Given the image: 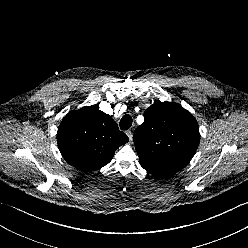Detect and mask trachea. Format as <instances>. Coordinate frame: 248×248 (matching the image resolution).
<instances>
[{
  "label": "trachea",
  "mask_w": 248,
  "mask_h": 248,
  "mask_svg": "<svg viewBox=\"0 0 248 248\" xmlns=\"http://www.w3.org/2000/svg\"><path fill=\"white\" fill-rule=\"evenodd\" d=\"M132 125V117L130 115H124L120 120L121 130H128Z\"/></svg>",
  "instance_id": "trachea-1"
}]
</instances>
